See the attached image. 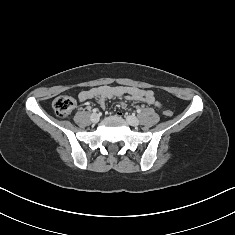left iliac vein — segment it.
Instances as JSON below:
<instances>
[{"instance_id":"1","label":"left iliac vein","mask_w":235,"mask_h":235,"mask_svg":"<svg viewBox=\"0 0 235 235\" xmlns=\"http://www.w3.org/2000/svg\"><path fill=\"white\" fill-rule=\"evenodd\" d=\"M127 122L131 125V126H138L139 125V120L138 118H136L133 115H129L127 116Z\"/></svg>"}]
</instances>
